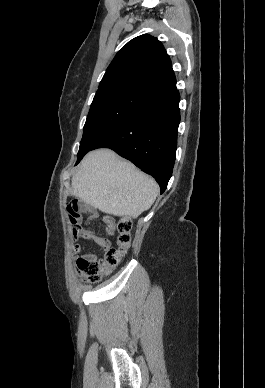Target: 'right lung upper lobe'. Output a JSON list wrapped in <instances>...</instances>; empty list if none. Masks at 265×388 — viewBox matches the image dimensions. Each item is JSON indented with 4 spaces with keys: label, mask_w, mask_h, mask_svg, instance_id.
I'll list each match as a JSON object with an SVG mask.
<instances>
[{
    "label": "right lung upper lobe",
    "mask_w": 265,
    "mask_h": 388,
    "mask_svg": "<svg viewBox=\"0 0 265 388\" xmlns=\"http://www.w3.org/2000/svg\"><path fill=\"white\" fill-rule=\"evenodd\" d=\"M175 86L171 60L162 43L144 34L116 54L97 92H127L148 99Z\"/></svg>",
    "instance_id": "obj_1"
}]
</instances>
